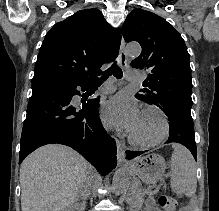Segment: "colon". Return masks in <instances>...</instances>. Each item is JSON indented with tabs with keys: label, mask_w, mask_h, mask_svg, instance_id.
I'll use <instances>...</instances> for the list:
<instances>
[{
	"label": "colon",
	"mask_w": 219,
	"mask_h": 211,
	"mask_svg": "<svg viewBox=\"0 0 219 211\" xmlns=\"http://www.w3.org/2000/svg\"><path fill=\"white\" fill-rule=\"evenodd\" d=\"M158 203L163 211H177V202L170 196L161 195L158 198Z\"/></svg>",
	"instance_id": "1"
}]
</instances>
